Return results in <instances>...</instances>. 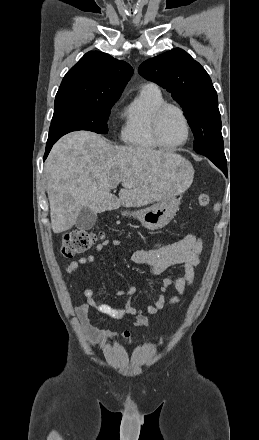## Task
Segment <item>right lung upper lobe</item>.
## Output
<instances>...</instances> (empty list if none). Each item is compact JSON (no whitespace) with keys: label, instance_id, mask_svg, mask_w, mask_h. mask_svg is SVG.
Here are the masks:
<instances>
[{"label":"right lung upper lobe","instance_id":"1","mask_svg":"<svg viewBox=\"0 0 259 440\" xmlns=\"http://www.w3.org/2000/svg\"><path fill=\"white\" fill-rule=\"evenodd\" d=\"M132 73L128 63L100 51H90L64 76L56 97L118 99Z\"/></svg>","mask_w":259,"mask_h":440}]
</instances>
